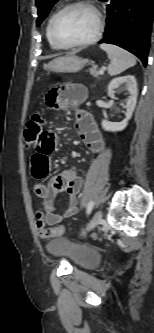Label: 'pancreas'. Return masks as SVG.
Returning a JSON list of instances; mask_svg holds the SVG:
<instances>
[{"instance_id":"1","label":"pancreas","mask_w":154,"mask_h":333,"mask_svg":"<svg viewBox=\"0 0 154 333\" xmlns=\"http://www.w3.org/2000/svg\"><path fill=\"white\" fill-rule=\"evenodd\" d=\"M90 74L94 77H98L100 75L99 71L96 69H90Z\"/></svg>"}]
</instances>
